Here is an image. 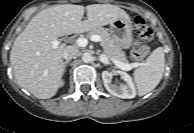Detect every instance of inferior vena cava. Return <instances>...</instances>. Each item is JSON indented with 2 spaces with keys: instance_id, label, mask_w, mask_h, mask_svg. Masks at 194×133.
Returning a JSON list of instances; mask_svg holds the SVG:
<instances>
[{
  "instance_id": "1",
  "label": "inferior vena cava",
  "mask_w": 194,
  "mask_h": 133,
  "mask_svg": "<svg viewBox=\"0 0 194 133\" xmlns=\"http://www.w3.org/2000/svg\"><path fill=\"white\" fill-rule=\"evenodd\" d=\"M79 56V51L73 46H67L63 52V58L70 60Z\"/></svg>"
}]
</instances>
